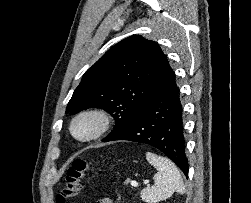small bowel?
<instances>
[{"label":"small bowel","instance_id":"obj_1","mask_svg":"<svg viewBox=\"0 0 251 203\" xmlns=\"http://www.w3.org/2000/svg\"><path fill=\"white\" fill-rule=\"evenodd\" d=\"M97 203H113V201L111 199L106 198L98 201Z\"/></svg>","mask_w":251,"mask_h":203}]
</instances>
